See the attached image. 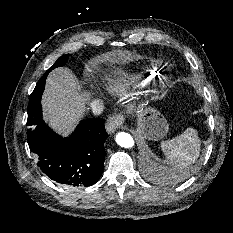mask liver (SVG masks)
Returning <instances> with one entry per match:
<instances>
[{
  "label": "liver",
  "mask_w": 233,
  "mask_h": 233,
  "mask_svg": "<svg viewBox=\"0 0 233 233\" xmlns=\"http://www.w3.org/2000/svg\"><path fill=\"white\" fill-rule=\"evenodd\" d=\"M88 94L81 93L75 76L67 68H57L47 77L42 107L44 119L64 135L68 134L86 111Z\"/></svg>",
  "instance_id": "1"
}]
</instances>
